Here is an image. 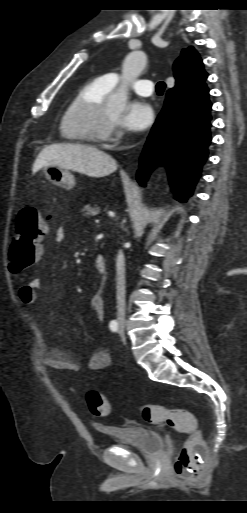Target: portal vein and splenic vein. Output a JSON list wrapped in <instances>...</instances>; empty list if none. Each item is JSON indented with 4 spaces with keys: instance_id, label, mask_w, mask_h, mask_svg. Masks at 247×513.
I'll return each mask as SVG.
<instances>
[{
    "instance_id": "obj_1",
    "label": "portal vein and splenic vein",
    "mask_w": 247,
    "mask_h": 513,
    "mask_svg": "<svg viewBox=\"0 0 247 513\" xmlns=\"http://www.w3.org/2000/svg\"><path fill=\"white\" fill-rule=\"evenodd\" d=\"M96 223H99V220H95Z\"/></svg>"
}]
</instances>
